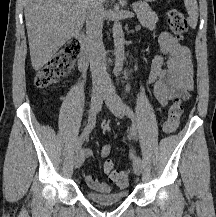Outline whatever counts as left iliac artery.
I'll use <instances>...</instances> for the list:
<instances>
[{
  "instance_id": "left-iliac-artery-1",
  "label": "left iliac artery",
  "mask_w": 216,
  "mask_h": 217,
  "mask_svg": "<svg viewBox=\"0 0 216 217\" xmlns=\"http://www.w3.org/2000/svg\"><path fill=\"white\" fill-rule=\"evenodd\" d=\"M124 111L126 113V115L131 119L132 121V128H131V134L133 136V138H135L137 136V125H136V117L135 114L133 112V110L126 104L124 103ZM130 158L134 161L139 159L136 156V153L134 151V149L130 150Z\"/></svg>"
}]
</instances>
